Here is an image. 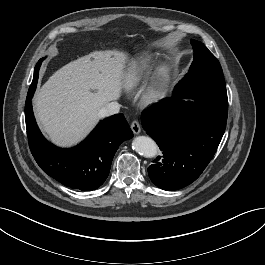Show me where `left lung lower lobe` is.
Wrapping results in <instances>:
<instances>
[{"label": "left lung lower lobe", "instance_id": "left-lung-lower-lobe-1", "mask_svg": "<svg viewBox=\"0 0 265 265\" xmlns=\"http://www.w3.org/2000/svg\"><path fill=\"white\" fill-rule=\"evenodd\" d=\"M226 120L207 105L184 101L174 92L145 111L142 126L163 151L148 167L151 181L168 191L195 181L213 158Z\"/></svg>", "mask_w": 265, "mask_h": 265}]
</instances>
